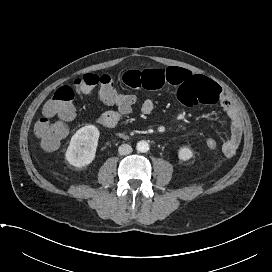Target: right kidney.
<instances>
[{"instance_id": "ca27d5eb", "label": "right kidney", "mask_w": 272, "mask_h": 272, "mask_svg": "<svg viewBox=\"0 0 272 272\" xmlns=\"http://www.w3.org/2000/svg\"><path fill=\"white\" fill-rule=\"evenodd\" d=\"M99 135V130L94 125L80 128L70 140L65 154L67 162L77 168L92 163L95 158Z\"/></svg>"}]
</instances>
